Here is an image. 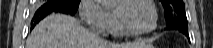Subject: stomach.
Returning a JSON list of instances; mask_svg holds the SVG:
<instances>
[{
  "label": "stomach",
  "mask_w": 213,
  "mask_h": 48,
  "mask_svg": "<svg viewBox=\"0 0 213 48\" xmlns=\"http://www.w3.org/2000/svg\"><path fill=\"white\" fill-rule=\"evenodd\" d=\"M146 48H154L152 45H150L149 47H146Z\"/></svg>",
  "instance_id": "0dacf381"
}]
</instances>
